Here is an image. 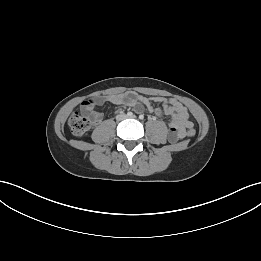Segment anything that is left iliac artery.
<instances>
[{
  "label": "left iliac artery",
  "mask_w": 261,
  "mask_h": 261,
  "mask_svg": "<svg viewBox=\"0 0 261 261\" xmlns=\"http://www.w3.org/2000/svg\"><path fill=\"white\" fill-rule=\"evenodd\" d=\"M143 118H144V116H143V115H140V116H139V119H141V120H142Z\"/></svg>",
  "instance_id": "left-iliac-artery-1"
}]
</instances>
